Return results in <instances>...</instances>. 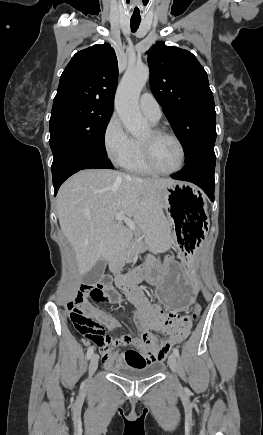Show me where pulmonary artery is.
Wrapping results in <instances>:
<instances>
[{"mask_svg":"<svg viewBox=\"0 0 263 435\" xmlns=\"http://www.w3.org/2000/svg\"><path fill=\"white\" fill-rule=\"evenodd\" d=\"M139 106L142 113L153 123H157L162 115L161 107L154 96L145 92L141 95Z\"/></svg>","mask_w":263,"mask_h":435,"instance_id":"obj_1","label":"pulmonary artery"}]
</instances>
